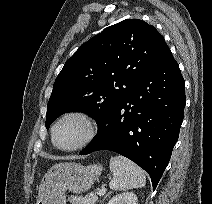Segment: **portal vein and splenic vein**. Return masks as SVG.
Segmentation results:
<instances>
[{
	"label": "portal vein and splenic vein",
	"mask_w": 212,
	"mask_h": 204,
	"mask_svg": "<svg viewBox=\"0 0 212 204\" xmlns=\"http://www.w3.org/2000/svg\"><path fill=\"white\" fill-rule=\"evenodd\" d=\"M106 193V188L104 186L101 187V189H99L98 191V195H104Z\"/></svg>",
	"instance_id": "portal-vein-and-splenic-vein-1"
}]
</instances>
